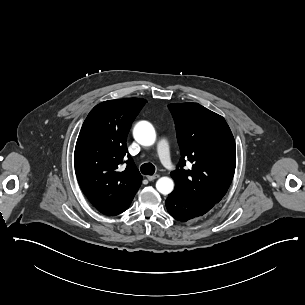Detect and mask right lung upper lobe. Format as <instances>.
<instances>
[{
    "label": "right lung upper lobe",
    "instance_id": "right-lung-upper-lobe-1",
    "mask_svg": "<svg viewBox=\"0 0 305 305\" xmlns=\"http://www.w3.org/2000/svg\"><path fill=\"white\" fill-rule=\"evenodd\" d=\"M147 101L140 98L109 100L95 106L80 130L74 153L79 185L103 214L121 208L139 189L142 176L128 153L131 124ZM125 170L121 164L125 163Z\"/></svg>",
    "mask_w": 305,
    "mask_h": 305
}]
</instances>
